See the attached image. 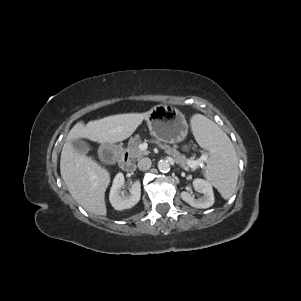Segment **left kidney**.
I'll use <instances>...</instances> for the list:
<instances>
[{
    "mask_svg": "<svg viewBox=\"0 0 301 301\" xmlns=\"http://www.w3.org/2000/svg\"><path fill=\"white\" fill-rule=\"evenodd\" d=\"M193 186L194 189L202 193L203 196L195 199L194 195L183 191L180 194L182 200L195 208L206 209L211 207L214 204V193L211 183L204 179L197 178L193 181Z\"/></svg>",
    "mask_w": 301,
    "mask_h": 301,
    "instance_id": "left-kidney-1",
    "label": "left kidney"
}]
</instances>
